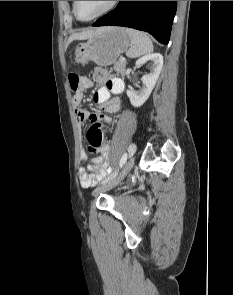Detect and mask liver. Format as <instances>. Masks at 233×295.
I'll list each match as a JSON object with an SVG mask.
<instances>
[{
  "instance_id": "6515ba94",
  "label": "liver",
  "mask_w": 233,
  "mask_h": 295,
  "mask_svg": "<svg viewBox=\"0 0 233 295\" xmlns=\"http://www.w3.org/2000/svg\"><path fill=\"white\" fill-rule=\"evenodd\" d=\"M104 30V27H101V28H96V29H91V30H87V31H84V32H81V33H75V34H72L69 39H68V42H67V46L73 42L74 40H84V39H88V38H91L93 37L94 35L102 32Z\"/></svg>"
}]
</instances>
